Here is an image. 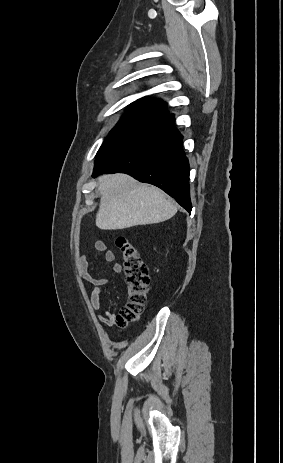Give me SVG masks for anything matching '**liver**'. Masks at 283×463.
<instances>
[{"label":"liver","instance_id":"obj_1","mask_svg":"<svg viewBox=\"0 0 283 463\" xmlns=\"http://www.w3.org/2000/svg\"><path fill=\"white\" fill-rule=\"evenodd\" d=\"M98 191L101 198L96 226L102 230L160 223L177 212V207L159 188L139 183L125 174L100 176Z\"/></svg>","mask_w":283,"mask_h":463}]
</instances>
